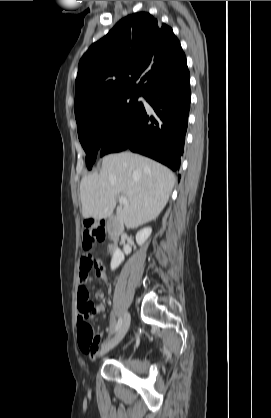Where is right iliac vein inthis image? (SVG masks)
Listing matches in <instances>:
<instances>
[{
    "label": "right iliac vein",
    "mask_w": 271,
    "mask_h": 418,
    "mask_svg": "<svg viewBox=\"0 0 271 418\" xmlns=\"http://www.w3.org/2000/svg\"><path fill=\"white\" fill-rule=\"evenodd\" d=\"M129 326H130V314L126 313L124 315L122 324L118 332L116 333V335L112 339L108 340L107 342L103 344L101 351H100L101 356L109 352L111 349H113L124 338V336L126 335L129 329Z\"/></svg>",
    "instance_id": "obj_1"
}]
</instances>
